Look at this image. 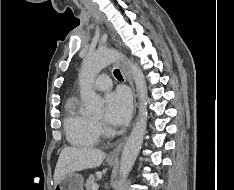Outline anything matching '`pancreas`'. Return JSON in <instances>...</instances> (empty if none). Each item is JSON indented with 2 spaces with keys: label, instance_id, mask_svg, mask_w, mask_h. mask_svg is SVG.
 <instances>
[{
  "label": "pancreas",
  "instance_id": "obj_1",
  "mask_svg": "<svg viewBox=\"0 0 234 190\" xmlns=\"http://www.w3.org/2000/svg\"><path fill=\"white\" fill-rule=\"evenodd\" d=\"M96 184L95 183V176L94 175H89V178L87 179L86 183H85V188L86 190H91L92 186Z\"/></svg>",
  "mask_w": 234,
  "mask_h": 190
}]
</instances>
